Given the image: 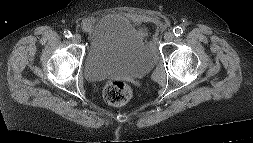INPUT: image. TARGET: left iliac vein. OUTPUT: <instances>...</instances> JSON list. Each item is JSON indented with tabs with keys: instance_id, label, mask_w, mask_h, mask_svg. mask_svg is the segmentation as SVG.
Listing matches in <instances>:
<instances>
[{
	"instance_id": "obj_1",
	"label": "left iliac vein",
	"mask_w": 253,
	"mask_h": 143,
	"mask_svg": "<svg viewBox=\"0 0 253 143\" xmlns=\"http://www.w3.org/2000/svg\"><path fill=\"white\" fill-rule=\"evenodd\" d=\"M174 38V34L172 32H166L164 35V39L167 42H171Z\"/></svg>"
}]
</instances>
